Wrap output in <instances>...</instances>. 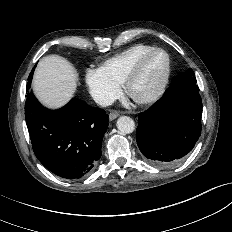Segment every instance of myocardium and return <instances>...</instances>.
<instances>
[{
  "label": "myocardium",
  "mask_w": 232,
  "mask_h": 232,
  "mask_svg": "<svg viewBox=\"0 0 232 232\" xmlns=\"http://www.w3.org/2000/svg\"><path fill=\"white\" fill-rule=\"evenodd\" d=\"M156 53H162L165 56L166 63H165V69L164 73L162 75V78L157 85V87L148 95L143 97H136L132 94V85L139 76L145 62L150 58L152 55ZM171 75V58L168 52L162 48H152L151 50L143 53L141 56L137 58V60L134 62L132 67L130 68L128 74L125 77V80L123 82V88L125 93L136 103L138 104H150L158 100L161 95L164 93L169 79Z\"/></svg>",
  "instance_id": "obj_1"
}]
</instances>
